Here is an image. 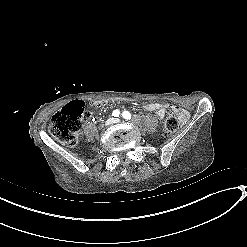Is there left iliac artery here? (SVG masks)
Here are the masks:
<instances>
[{"label": "left iliac artery", "instance_id": "obj_1", "mask_svg": "<svg viewBox=\"0 0 247 247\" xmlns=\"http://www.w3.org/2000/svg\"><path fill=\"white\" fill-rule=\"evenodd\" d=\"M122 117L129 120V119H131V114L128 111H124L122 113Z\"/></svg>", "mask_w": 247, "mask_h": 247}]
</instances>
